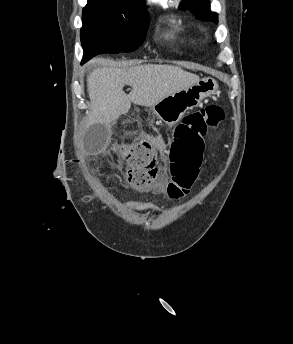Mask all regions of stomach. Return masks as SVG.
I'll use <instances>...</instances> for the list:
<instances>
[{
	"mask_svg": "<svg viewBox=\"0 0 293 344\" xmlns=\"http://www.w3.org/2000/svg\"><path fill=\"white\" fill-rule=\"evenodd\" d=\"M218 89L217 81L212 77L201 79L193 86L174 93L152 106L153 113L168 125L178 123L186 111L197 107L204 98Z\"/></svg>",
	"mask_w": 293,
	"mask_h": 344,
	"instance_id": "0dacf381",
	"label": "stomach"
}]
</instances>
